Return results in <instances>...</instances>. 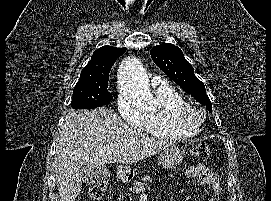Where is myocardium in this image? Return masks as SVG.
<instances>
[{
    "mask_svg": "<svg viewBox=\"0 0 271 201\" xmlns=\"http://www.w3.org/2000/svg\"><path fill=\"white\" fill-rule=\"evenodd\" d=\"M179 115L188 122L201 125L205 120V113L202 109L188 105L179 110Z\"/></svg>",
    "mask_w": 271,
    "mask_h": 201,
    "instance_id": "myocardium-1",
    "label": "myocardium"
}]
</instances>
